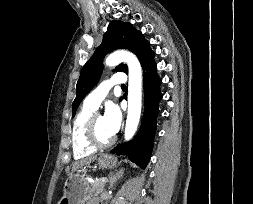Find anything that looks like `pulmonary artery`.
Returning <instances> with one entry per match:
<instances>
[{
    "label": "pulmonary artery",
    "mask_w": 253,
    "mask_h": 204,
    "mask_svg": "<svg viewBox=\"0 0 253 204\" xmlns=\"http://www.w3.org/2000/svg\"><path fill=\"white\" fill-rule=\"evenodd\" d=\"M126 75L124 73H115L109 79L102 81L99 86L94 89L84 100V105L97 109L101 102L107 96L112 86H122L126 83Z\"/></svg>",
    "instance_id": "obj_1"
}]
</instances>
